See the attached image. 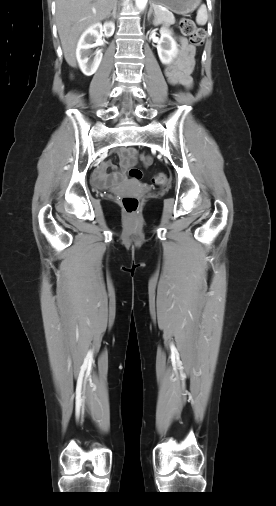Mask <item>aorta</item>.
Instances as JSON below:
<instances>
[{"instance_id":"1","label":"aorta","mask_w":276,"mask_h":506,"mask_svg":"<svg viewBox=\"0 0 276 506\" xmlns=\"http://www.w3.org/2000/svg\"><path fill=\"white\" fill-rule=\"evenodd\" d=\"M148 0H136V6L139 10H144Z\"/></svg>"}]
</instances>
